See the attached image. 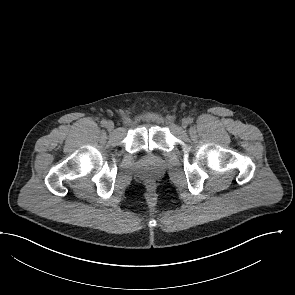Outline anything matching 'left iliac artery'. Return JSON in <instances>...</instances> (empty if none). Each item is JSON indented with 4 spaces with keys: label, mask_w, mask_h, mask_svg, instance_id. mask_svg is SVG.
<instances>
[{
    "label": "left iliac artery",
    "mask_w": 295,
    "mask_h": 295,
    "mask_svg": "<svg viewBox=\"0 0 295 295\" xmlns=\"http://www.w3.org/2000/svg\"><path fill=\"white\" fill-rule=\"evenodd\" d=\"M188 122H189V123H192V122H193V118H190V117H189V118H188Z\"/></svg>",
    "instance_id": "1"
}]
</instances>
